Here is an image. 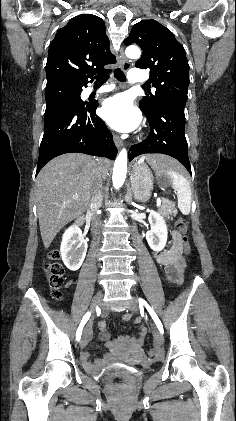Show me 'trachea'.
<instances>
[{
    "label": "trachea",
    "mask_w": 236,
    "mask_h": 421,
    "mask_svg": "<svg viewBox=\"0 0 236 421\" xmlns=\"http://www.w3.org/2000/svg\"><path fill=\"white\" fill-rule=\"evenodd\" d=\"M114 75L117 78V80H119L120 82L126 81V76L120 68H116V70H114ZM108 78H109L108 73L99 74L95 77V79H96L95 83H105V82H107ZM143 88L145 90H149L150 87H147V86L143 85Z\"/></svg>",
    "instance_id": "1"
}]
</instances>
